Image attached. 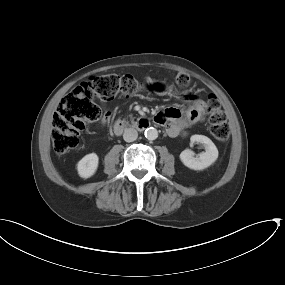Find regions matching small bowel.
Instances as JSON below:
<instances>
[{
  "label": "small bowel",
  "mask_w": 285,
  "mask_h": 285,
  "mask_svg": "<svg viewBox=\"0 0 285 285\" xmlns=\"http://www.w3.org/2000/svg\"><path fill=\"white\" fill-rule=\"evenodd\" d=\"M157 115H161L166 119V133L169 136H177L180 131L189 126L192 121L202 118V103H195L187 111H181L174 106H167L160 110ZM191 116H193L195 120H191Z\"/></svg>",
  "instance_id": "small-bowel-1"
}]
</instances>
